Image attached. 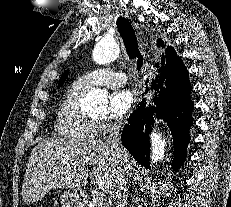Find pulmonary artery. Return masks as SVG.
<instances>
[{"instance_id": "obj_1", "label": "pulmonary artery", "mask_w": 231, "mask_h": 207, "mask_svg": "<svg viewBox=\"0 0 231 207\" xmlns=\"http://www.w3.org/2000/svg\"><path fill=\"white\" fill-rule=\"evenodd\" d=\"M126 81L127 76L124 72L113 71L108 67L103 66L80 76L74 84L78 88L86 90L96 85L105 87L120 86Z\"/></svg>"}]
</instances>
